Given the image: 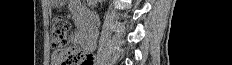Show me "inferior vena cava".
<instances>
[{"instance_id": "obj_1", "label": "inferior vena cava", "mask_w": 232, "mask_h": 65, "mask_svg": "<svg viewBox=\"0 0 232 65\" xmlns=\"http://www.w3.org/2000/svg\"><path fill=\"white\" fill-rule=\"evenodd\" d=\"M88 2L92 5H94L97 1L96 0H88Z\"/></svg>"}]
</instances>
